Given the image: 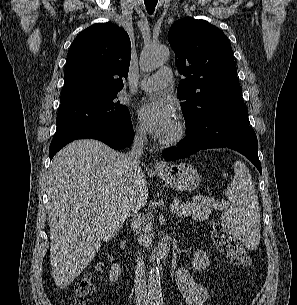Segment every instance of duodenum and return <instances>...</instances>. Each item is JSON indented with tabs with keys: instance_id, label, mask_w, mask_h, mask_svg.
<instances>
[{
	"instance_id": "410a0bca",
	"label": "duodenum",
	"mask_w": 297,
	"mask_h": 305,
	"mask_svg": "<svg viewBox=\"0 0 297 305\" xmlns=\"http://www.w3.org/2000/svg\"><path fill=\"white\" fill-rule=\"evenodd\" d=\"M121 248L125 251V252H130L128 243L126 242V240H122L121 241ZM172 246H171V242L169 240H165L162 241L161 244L159 245V248L157 250V252L154 255V259L157 262H161L163 261L166 256L168 255V253L171 251Z\"/></svg>"
}]
</instances>
